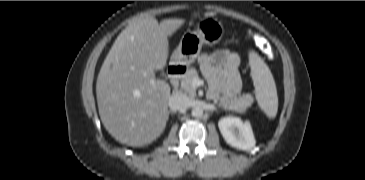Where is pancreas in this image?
I'll return each mask as SVG.
<instances>
[{
	"mask_svg": "<svg viewBox=\"0 0 365 180\" xmlns=\"http://www.w3.org/2000/svg\"><path fill=\"white\" fill-rule=\"evenodd\" d=\"M198 78V72L195 68L189 69L181 81V88L191 97L196 95V89L192 86V82ZM251 104V98L248 95L233 96L221 103L225 109L234 110L237 112H244Z\"/></svg>",
	"mask_w": 365,
	"mask_h": 180,
	"instance_id": "cf45deb5",
	"label": "pancreas"
}]
</instances>
